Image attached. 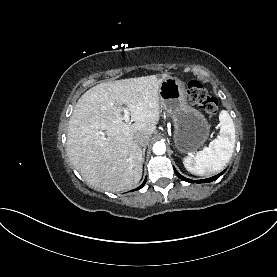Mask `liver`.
I'll return each mask as SVG.
<instances>
[{"label":"liver","mask_w":277,"mask_h":277,"mask_svg":"<svg viewBox=\"0 0 277 277\" xmlns=\"http://www.w3.org/2000/svg\"><path fill=\"white\" fill-rule=\"evenodd\" d=\"M162 74L98 84L78 100L67 130V153L92 187L110 192L134 188L142 177L143 154L135 135L151 136L160 117ZM130 111L124 122L121 107Z\"/></svg>","instance_id":"1"}]
</instances>
